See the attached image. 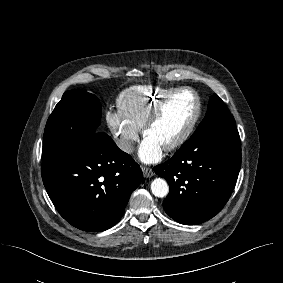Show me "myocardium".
I'll return each mask as SVG.
<instances>
[{
  "label": "myocardium",
  "instance_id": "1",
  "mask_svg": "<svg viewBox=\"0 0 283 283\" xmlns=\"http://www.w3.org/2000/svg\"><path fill=\"white\" fill-rule=\"evenodd\" d=\"M184 92H189L193 96V98L195 100V104H196L195 112H194L191 120L189 121L188 125L185 127V129L173 141H171L169 144H167L166 146L163 147V149L166 150V151L174 150V149L180 147L181 145H183L190 138L193 131L195 130V127H196V125H197V123L200 119L201 112H202L201 100H200V97L198 96V94L196 93V91L193 90L192 88H189V87L176 88V89L170 91L169 93H167L166 95H164L161 99H159L157 101V103L152 108L151 112L147 116V118L144 121L143 126H142V133H143L144 136H146L149 128L153 125V123L159 117V115L161 114L165 105L175 95H177L179 93H184Z\"/></svg>",
  "mask_w": 283,
  "mask_h": 283
}]
</instances>
